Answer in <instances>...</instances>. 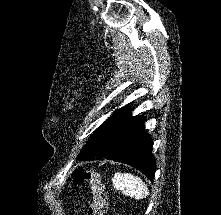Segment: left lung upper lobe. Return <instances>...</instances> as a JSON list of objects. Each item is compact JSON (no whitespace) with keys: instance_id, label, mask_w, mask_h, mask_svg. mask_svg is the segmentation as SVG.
Here are the masks:
<instances>
[{"instance_id":"left-lung-upper-lobe-1","label":"left lung upper lobe","mask_w":221,"mask_h":215,"mask_svg":"<svg viewBox=\"0 0 221 215\" xmlns=\"http://www.w3.org/2000/svg\"><path fill=\"white\" fill-rule=\"evenodd\" d=\"M129 107L126 105L123 108L116 110L112 116L107 119L97 130L90 140L86 143L80 154L79 160L90 161L100 158L105 152V148L115 126L128 113Z\"/></svg>"}]
</instances>
